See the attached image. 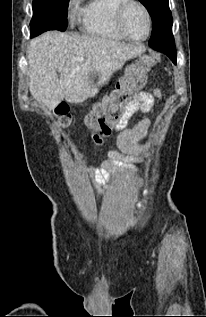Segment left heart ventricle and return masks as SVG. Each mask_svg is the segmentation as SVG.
<instances>
[{
	"label": "left heart ventricle",
	"instance_id": "left-heart-ventricle-1",
	"mask_svg": "<svg viewBox=\"0 0 206 317\" xmlns=\"http://www.w3.org/2000/svg\"><path fill=\"white\" fill-rule=\"evenodd\" d=\"M124 28L129 35L142 38L147 33V20L144 12L137 5H132L124 17Z\"/></svg>",
	"mask_w": 206,
	"mask_h": 317
}]
</instances>
